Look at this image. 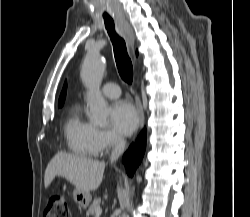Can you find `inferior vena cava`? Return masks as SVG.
<instances>
[{
    "mask_svg": "<svg viewBox=\"0 0 250 217\" xmlns=\"http://www.w3.org/2000/svg\"><path fill=\"white\" fill-rule=\"evenodd\" d=\"M113 145L114 147H113L111 157H110L111 163L115 162L120 157V155L124 152L126 141L124 138L120 136H116L113 139Z\"/></svg>",
    "mask_w": 250,
    "mask_h": 217,
    "instance_id": "602c4592",
    "label": "inferior vena cava"
}]
</instances>
